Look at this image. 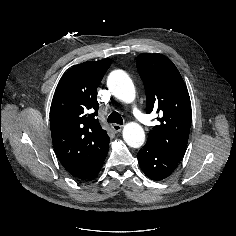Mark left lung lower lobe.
<instances>
[{
	"label": "left lung lower lobe",
	"instance_id": "left-lung-lower-lobe-1",
	"mask_svg": "<svg viewBox=\"0 0 236 236\" xmlns=\"http://www.w3.org/2000/svg\"><path fill=\"white\" fill-rule=\"evenodd\" d=\"M137 158L145 175L156 181L168 177L179 164V162L162 154L149 144L140 149Z\"/></svg>",
	"mask_w": 236,
	"mask_h": 236
}]
</instances>
